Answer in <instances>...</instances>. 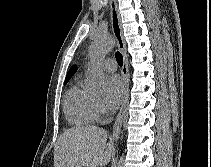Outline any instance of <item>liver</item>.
I'll return each mask as SVG.
<instances>
[{"label": "liver", "mask_w": 211, "mask_h": 167, "mask_svg": "<svg viewBox=\"0 0 211 167\" xmlns=\"http://www.w3.org/2000/svg\"><path fill=\"white\" fill-rule=\"evenodd\" d=\"M113 151V144L107 143L106 130L96 126L70 128L54 147V167L105 166Z\"/></svg>", "instance_id": "liver-1"}]
</instances>
